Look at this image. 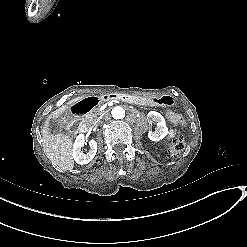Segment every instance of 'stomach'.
Returning a JSON list of instances; mask_svg holds the SVG:
<instances>
[{
  "mask_svg": "<svg viewBox=\"0 0 247 247\" xmlns=\"http://www.w3.org/2000/svg\"><path fill=\"white\" fill-rule=\"evenodd\" d=\"M143 104L150 106L171 107L176 105V101L171 95H160L142 100Z\"/></svg>",
  "mask_w": 247,
  "mask_h": 247,
  "instance_id": "obj_1",
  "label": "stomach"
}]
</instances>
